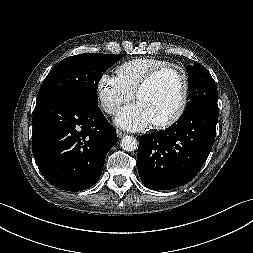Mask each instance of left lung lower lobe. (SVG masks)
Returning <instances> with one entry per match:
<instances>
[{
  "label": "left lung lower lobe",
  "mask_w": 253,
  "mask_h": 253,
  "mask_svg": "<svg viewBox=\"0 0 253 253\" xmlns=\"http://www.w3.org/2000/svg\"><path fill=\"white\" fill-rule=\"evenodd\" d=\"M218 107L202 105L164 131L139 137L138 172L153 190H168L191 181L215 140Z\"/></svg>",
  "instance_id": "0a47b994"
}]
</instances>
